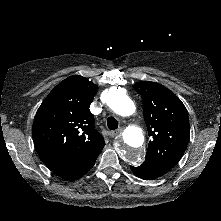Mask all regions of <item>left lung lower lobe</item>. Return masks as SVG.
<instances>
[{
  "label": "left lung lower lobe",
  "instance_id": "obj_1",
  "mask_svg": "<svg viewBox=\"0 0 221 221\" xmlns=\"http://www.w3.org/2000/svg\"><path fill=\"white\" fill-rule=\"evenodd\" d=\"M130 168L135 176L145 180L156 179L163 175L153 165L146 162L138 167L131 166Z\"/></svg>",
  "mask_w": 221,
  "mask_h": 221
}]
</instances>
